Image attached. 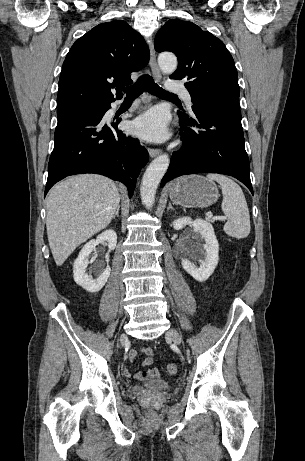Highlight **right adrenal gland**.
Wrapping results in <instances>:
<instances>
[{"mask_svg":"<svg viewBox=\"0 0 305 461\" xmlns=\"http://www.w3.org/2000/svg\"><path fill=\"white\" fill-rule=\"evenodd\" d=\"M119 209H120V205H118V207L116 208L115 214L113 216L114 220H115L116 217H119Z\"/></svg>","mask_w":305,"mask_h":461,"instance_id":"2a0ac1e0","label":"right adrenal gland"}]
</instances>
